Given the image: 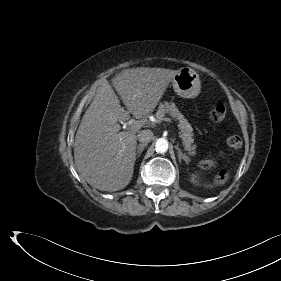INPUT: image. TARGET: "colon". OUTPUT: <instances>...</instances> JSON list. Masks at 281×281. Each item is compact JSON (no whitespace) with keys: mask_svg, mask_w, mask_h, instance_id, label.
I'll list each match as a JSON object with an SVG mask.
<instances>
[{"mask_svg":"<svg viewBox=\"0 0 281 281\" xmlns=\"http://www.w3.org/2000/svg\"><path fill=\"white\" fill-rule=\"evenodd\" d=\"M226 117V108L223 104H217L215 105L209 112V118L214 121V122H222ZM227 145L231 149H239L242 145V140L241 137L237 134H232L228 136L227 140ZM214 165L213 160H206L202 163V166L204 168H208ZM229 177V174L227 171H221L216 179H215V184H222L224 183Z\"/></svg>","mask_w":281,"mask_h":281,"instance_id":"colon-1","label":"colon"}]
</instances>
